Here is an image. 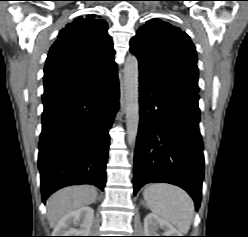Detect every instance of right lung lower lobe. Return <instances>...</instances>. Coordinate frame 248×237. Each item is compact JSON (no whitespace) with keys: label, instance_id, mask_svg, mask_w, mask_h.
<instances>
[{"label":"right lung lower lobe","instance_id":"obj_1","mask_svg":"<svg viewBox=\"0 0 248 237\" xmlns=\"http://www.w3.org/2000/svg\"><path fill=\"white\" fill-rule=\"evenodd\" d=\"M117 70L43 94L38 168L42 200L56 190L92 184L104 190L109 134L119 108Z\"/></svg>","mask_w":248,"mask_h":237}]
</instances>
